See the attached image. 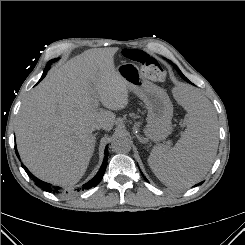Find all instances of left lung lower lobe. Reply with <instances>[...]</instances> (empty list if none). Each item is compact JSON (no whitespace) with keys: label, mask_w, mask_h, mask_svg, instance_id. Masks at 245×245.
I'll return each instance as SVG.
<instances>
[{"label":"left lung lower lobe","mask_w":245,"mask_h":245,"mask_svg":"<svg viewBox=\"0 0 245 245\" xmlns=\"http://www.w3.org/2000/svg\"><path fill=\"white\" fill-rule=\"evenodd\" d=\"M174 67L176 66L175 64H173L171 61H169ZM183 79L186 80L187 82L191 83L184 75H183ZM142 174V172H141ZM143 175V174H142ZM144 179L147 181V179L145 178V176L143 175ZM203 182L199 183L200 185L202 184Z\"/></svg>","instance_id":"1"}]
</instances>
